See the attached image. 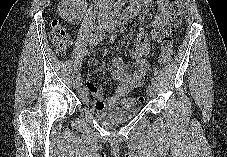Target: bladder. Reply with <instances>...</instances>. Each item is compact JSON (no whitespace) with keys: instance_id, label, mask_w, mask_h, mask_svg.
I'll return each mask as SVG.
<instances>
[{"instance_id":"bladder-1","label":"bladder","mask_w":227,"mask_h":157,"mask_svg":"<svg viewBox=\"0 0 227 157\" xmlns=\"http://www.w3.org/2000/svg\"><path fill=\"white\" fill-rule=\"evenodd\" d=\"M137 107H109L92 109L91 113L100 122L107 125H117L129 121L139 113Z\"/></svg>"}]
</instances>
